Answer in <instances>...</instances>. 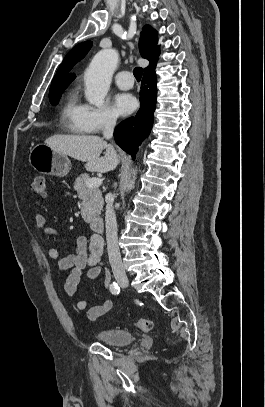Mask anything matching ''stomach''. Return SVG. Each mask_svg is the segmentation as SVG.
<instances>
[{
	"label": "stomach",
	"mask_w": 265,
	"mask_h": 407,
	"mask_svg": "<svg viewBox=\"0 0 265 407\" xmlns=\"http://www.w3.org/2000/svg\"><path fill=\"white\" fill-rule=\"evenodd\" d=\"M30 165L46 175L64 177L69 173L70 160L46 144H37L29 154Z\"/></svg>",
	"instance_id": "1"
}]
</instances>
